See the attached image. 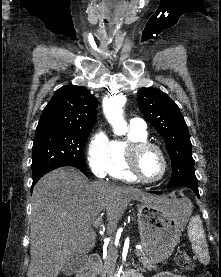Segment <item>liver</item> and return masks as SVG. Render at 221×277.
<instances>
[{"label":"liver","mask_w":221,"mask_h":277,"mask_svg":"<svg viewBox=\"0 0 221 277\" xmlns=\"http://www.w3.org/2000/svg\"><path fill=\"white\" fill-rule=\"evenodd\" d=\"M131 200L166 206V198L133 187L89 182L72 167L44 175L33 190L27 277H57L73 253L92 250L96 232L91 225L99 214L106 211V231L112 233Z\"/></svg>","instance_id":"obj_1"}]
</instances>
